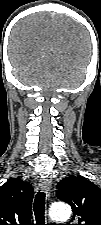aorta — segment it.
Returning <instances> with one entry per match:
<instances>
[{
	"instance_id": "obj_1",
	"label": "aorta",
	"mask_w": 101,
	"mask_h": 225,
	"mask_svg": "<svg viewBox=\"0 0 101 225\" xmlns=\"http://www.w3.org/2000/svg\"><path fill=\"white\" fill-rule=\"evenodd\" d=\"M71 208L67 204L56 203L50 208L49 215L55 221H66L71 217Z\"/></svg>"
}]
</instances>
